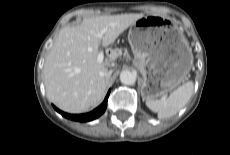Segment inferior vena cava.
Instances as JSON below:
<instances>
[{"mask_svg": "<svg viewBox=\"0 0 230 155\" xmlns=\"http://www.w3.org/2000/svg\"><path fill=\"white\" fill-rule=\"evenodd\" d=\"M106 76H107L108 78H110V76H111V71H108V72L106 73Z\"/></svg>", "mask_w": 230, "mask_h": 155, "instance_id": "1", "label": "inferior vena cava"}]
</instances>
